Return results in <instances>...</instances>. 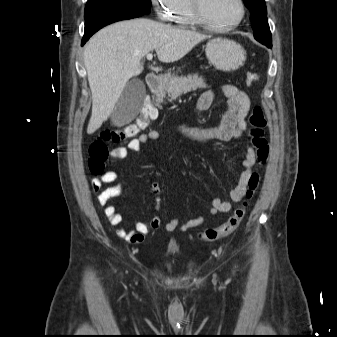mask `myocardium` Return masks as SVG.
Instances as JSON below:
<instances>
[{
    "label": "myocardium",
    "instance_id": "obj_1",
    "mask_svg": "<svg viewBox=\"0 0 337 337\" xmlns=\"http://www.w3.org/2000/svg\"><path fill=\"white\" fill-rule=\"evenodd\" d=\"M237 2L240 7V15L237 18V20L231 24L218 25V24L211 22L205 16L204 11L202 9V0H190L192 14L195 20L197 21V23L206 27L207 29L211 31H216V32L231 31L235 29L236 27H238L243 22L246 16V5H245L244 0H237Z\"/></svg>",
    "mask_w": 337,
    "mask_h": 337
}]
</instances>
